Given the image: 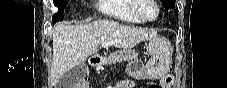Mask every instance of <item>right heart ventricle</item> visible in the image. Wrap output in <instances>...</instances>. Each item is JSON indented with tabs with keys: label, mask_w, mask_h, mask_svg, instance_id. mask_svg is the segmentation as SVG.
I'll return each instance as SVG.
<instances>
[{
	"label": "right heart ventricle",
	"mask_w": 227,
	"mask_h": 88,
	"mask_svg": "<svg viewBox=\"0 0 227 88\" xmlns=\"http://www.w3.org/2000/svg\"><path fill=\"white\" fill-rule=\"evenodd\" d=\"M133 0H99V10L111 18L131 23H140L132 12Z\"/></svg>",
	"instance_id": "obj_1"
}]
</instances>
